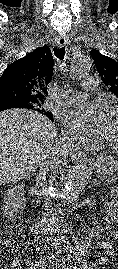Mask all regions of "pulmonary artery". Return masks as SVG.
I'll return each mask as SVG.
<instances>
[{
    "label": "pulmonary artery",
    "mask_w": 118,
    "mask_h": 269,
    "mask_svg": "<svg viewBox=\"0 0 118 269\" xmlns=\"http://www.w3.org/2000/svg\"><path fill=\"white\" fill-rule=\"evenodd\" d=\"M83 86L86 91H93L98 86V80L95 77H87L84 79ZM86 98V93L76 90H67L62 97H57L55 101L64 106H72L80 104Z\"/></svg>",
    "instance_id": "obj_1"
}]
</instances>
